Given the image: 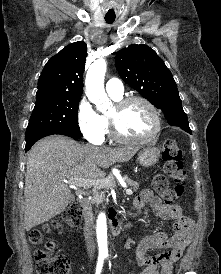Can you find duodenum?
<instances>
[{"label":"duodenum","mask_w":221,"mask_h":274,"mask_svg":"<svg viewBox=\"0 0 221 274\" xmlns=\"http://www.w3.org/2000/svg\"><path fill=\"white\" fill-rule=\"evenodd\" d=\"M78 203L83 210V216L85 220V225L83 230H84V234L87 235L93 220L92 213L89 208V200L86 196H82L78 199ZM109 219H110L111 233L113 235L121 234L125 229L124 219L118 217L114 212L110 213Z\"/></svg>","instance_id":"obj_1"}]
</instances>
